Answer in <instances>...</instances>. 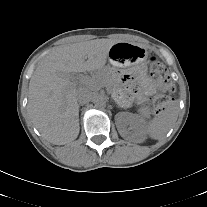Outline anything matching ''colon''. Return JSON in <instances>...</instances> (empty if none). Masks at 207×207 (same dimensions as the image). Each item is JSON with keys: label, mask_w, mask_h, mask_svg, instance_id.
<instances>
[{"label": "colon", "mask_w": 207, "mask_h": 207, "mask_svg": "<svg viewBox=\"0 0 207 207\" xmlns=\"http://www.w3.org/2000/svg\"><path fill=\"white\" fill-rule=\"evenodd\" d=\"M149 64L150 74L157 81L160 91L153 99L154 113L159 115L171 105V100L165 92H174L175 85L169 78L165 65L157 57H150Z\"/></svg>", "instance_id": "colon-1"}]
</instances>
